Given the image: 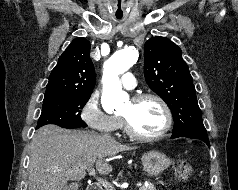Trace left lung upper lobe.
<instances>
[{
	"label": "left lung upper lobe",
	"instance_id": "5c2ea615",
	"mask_svg": "<svg viewBox=\"0 0 238 190\" xmlns=\"http://www.w3.org/2000/svg\"><path fill=\"white\" fill-rule=\"evenodd\" d=\"M144 75L148 86L172 111V133H207L192 76L176 44L159 36L147 40L144 46Z\"/></svg>",
	"mask_w": 238,
	"mask_h": 190
}]
</instances>
